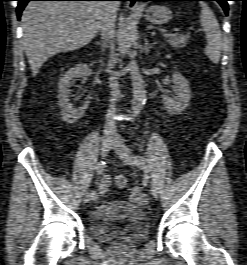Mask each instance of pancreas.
<instances>
[{
    "label": "pancreas",
    "mask_w": 247,
    "mask_h": 265,
    "mask_svg": "<svg viewBox=\"0 0 247 265\" xmlns=\"http://www.w3.org/2000/svg\"><path fill=\"white\" fill-rule=\"evenodd\" d=\"M167 42L174 48H184L188 44V34L170 36Z\"/></svg>",
    "instance_id": "obj_1"
}]
</instances>
